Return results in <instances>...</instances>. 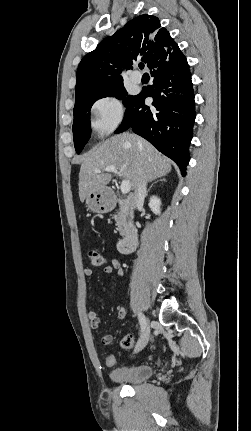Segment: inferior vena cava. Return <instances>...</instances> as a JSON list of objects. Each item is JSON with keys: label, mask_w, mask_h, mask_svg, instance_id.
Masks as SVG:
<instances>
[{"label": "inferior vena cava", "mask_w": 251, "mask_h": 431, "mask_svg": "<svg viewBox=\"0 0 251 431\" xmlns=\"http://www.w3.org/2000/svg\"><path fill=\"white\" fill-rule=\"evenodd\" d=\"M146 186H147V181H146L145 177L143 176V174H141L140 183L138 184V186L134 192L133 198H132L134 207H136L139 204L144 202L146 192H147Z\"/></svg>", "instance_id": "inferior-vena-cava-1"}]
</instances>
